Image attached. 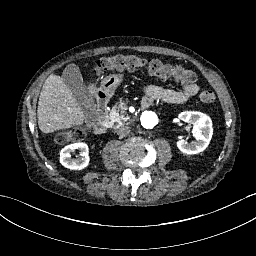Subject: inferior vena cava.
Here are the masks:
<instances>
[{"label": "inferior vena cava", "mask_w": 256, "mask_h": 256, "mask_svg": "<svg viewBox=\"0 0 256 256\" xmlns=\"http://www.w3.org/2000/svg\"><path fill=\"white\" fill-rule=\"evenodd\" d=\"M130 127L129 126H120L118 129H117V134L123 138V137H126L129 133H130Z\"/></svg>", "instance_id": "1"}]
</instances>
